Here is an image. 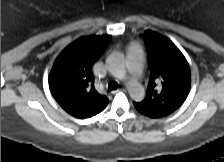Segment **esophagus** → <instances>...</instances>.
I'll list each match as a JSON object with an SVG mask.
<instances>
[{"label": "esophagus", "mask_w": 224, "mask_h": 162, "mask_svg": "<svg viewBox=\"0 0 224 162\" xmlns=\"http://www.w3.org/2000/svg\"><path fill=\"white\" fill-rule=\"evenodd\" d=\"M118 91H126V89H125V88L118 89V90L112 91V93H113V94H116Z\"/></svg>", "instance_id": "34e87169"}]
</instances>
